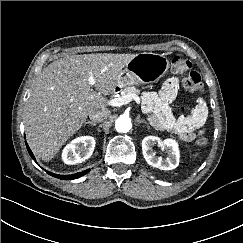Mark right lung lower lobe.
Wrapping results in <instances>:
<instances>
[{
  "instance_id": "obj_1",
  "label": "right lung lower lobe",
  "mask_w": 243,
  "mask_h": 243,
  "mask_svg": "<svg viewBox=\"0 0 243 243\" xmlns=\"http://www.w3.org/2000/svg\"><path fill=\"white\" fill-rule=\"evenodd\" d=\"M26 143V142H25ZM26 147H27V150L30 154V156L32 157L33 160H35V157L33 155V153L31 152L30 148L28 147L27 143H26ZM36 161V160H35ZM87 172H89V169L88 170H85L83 172H80V173H77V174H73V175H57V174H54V173H51V172H48L47 173L53 177H56V178H59V179H63V180H73L75 178H79L81 176H83L84 174H86Z\"/></svg>"
}]
</instances>
